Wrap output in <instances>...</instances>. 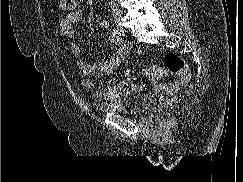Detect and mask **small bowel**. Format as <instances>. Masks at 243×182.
I'll return each mask as SVG.
<instances>
[{"instance_id":"obj_1","label":"small bowel","mask_w":243,"mask_h":182,"mask_svg":"<svg viewBox=\"0 0 243 182\" xmlns=\"http://www.w3.org/2000/svg\"><path fill=\"white\" fill-rule=\"evenodd\" d=\"M83 13L81 10H75L63 16L60 20V31L63 37L69 42V47L72 55L76 59L77 67L82 76L81 84L86 89H92L94 82L90 78L91 76L99 73H111L116 70L126 59L130 45L126 41L116 39L114 36L111 37V42L116 46L115 50L111 54L110 58L87 63L82 58V50L80 46L75 42L76 35L74 31V24L82 20ZM99 26L103 29H109V24L106 21H100ZM133 75L127 71L124 73L123 80L115 81L105 91H95L93 97L95 100H108L115 101L123 93H129L134 90Z\"/></svg>"}]
</instances>
